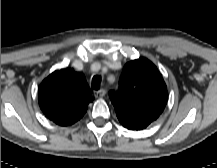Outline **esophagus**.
<instances>
[{
	"mask_svg": "<svg viewBox=\"0 0 217 168\" xmlns=\"http://www.w3.org/2000/svg\"><path fill=\"white\" fill-rule=\"evenodd\" d=\"M105 94H106L105 89H100L97 92H95L94 96H95V98H102L105 96Z\"/></svg>",
	"mask_w": 217,
	"mask_h": 168,
	"instance_id": "34e87169",
	"label": "esophagus"
}]
</instances>
